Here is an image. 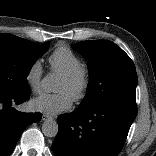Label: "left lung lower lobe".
I'll list each match as a JSON object with an SVG mask.
<instances>
[{"instance_id":"1","label":"left lung lower lobe","mask_w":156,"mask_h":156,"mask_svg":"<svg viewBox=\"0 0 156 156\" xmlns=\"http://www.w3.org/2000/svg\"><path fill=\"white\" fill-rule=\"evenodd\" d=\"M136 114V107L105 103L60 115L55 156H117Z\"/></svg>"}]
</instances>
